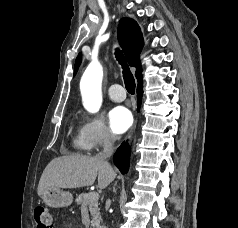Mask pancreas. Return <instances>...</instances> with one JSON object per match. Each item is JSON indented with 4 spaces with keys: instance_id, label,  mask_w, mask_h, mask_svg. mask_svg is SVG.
<instances>
[{
    "instance_id": "pancreas-1",
    "label": "pancreas",
    "mask_w": 238,
    "mask_h": 228,
    "mask_svg": "<svg viewBox=\"0 0 238 228\" xmlns=\"http://www.w3.org/2000/svg\"><path fill=\"white\" fill-rule=\"evenodd\" d=\"M90 193H82L77 195L76 202L81 207H88L90 214L92 216L91 228H101L100 227V213L98 208V200H92L89 198Z\"/></svg>"
}]
</instances>
